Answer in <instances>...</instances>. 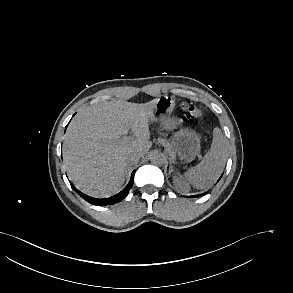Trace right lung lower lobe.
Wrapping results in <instances>:
<instances>
[{
  "label": "right lung lower lobe",
  "mask_w": 293,
  "mask_h": 293,
  "mask_svg": "<svg viewBox=\"0 0 293 293\" xmlns=\"http://www.w3.org/2000/svg\"><path fill=\"white\" fill-rule=\"evenodd\" d=\"M134 172L135 171L132 172V176H131V179H130V182L128 183V185L120 193H118L110 198H105V199L93 198V197H90V196H87V195L81 193L74 186H72V187L82 198H84L87 202H89L93 205H99V206L111 205V204H115L117 202H120L121 200H123L127 196L129 190L131 189V187L133 185Z\"/></svg>",
  "instance_id": "obj_1"
}]
</instances>
